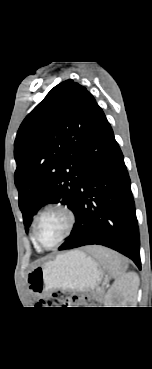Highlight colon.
<instances>
[{"label":"colon","mask_w":152,"mask_h":369,"mask_svg":"<svg viewBox=\"0 0 152 369\" xmlns=\"http://www.w3.org/2000/svg\"><path fill=\"white\" fill-rule=\"evenodd\" d=\"M88 303V298L81 294L69 296L65 292H55L50 297L39 301L42 307H83Z\"/></svg>","instance_id":"obj_1"}]
</instances>
